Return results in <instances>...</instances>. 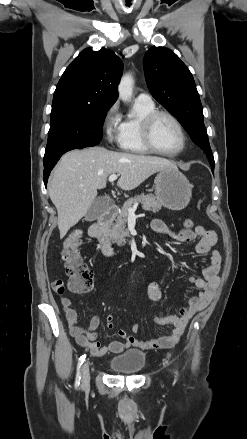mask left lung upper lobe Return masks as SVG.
I'll return each instance as SVG.
<instances>
[{
  "instance_id": "5c2ea615",
  "label": "left lung upper lobe",
  "mask_w": 247,
  "mask_h": 439,
  "mask_svg": "<svg viewBox=\"0 0 247 439\" xmlns=\"http://www.w3.org/2000/svg\"><path fill=\"white\" fill-rule=\"evenodd\" d=\"M143 64L152 96L178 119L214 167L201 101L189 69L170 49L162 47H151Z\"/></svg>"
}]
</instances>
